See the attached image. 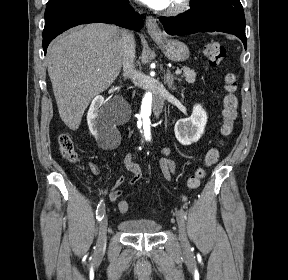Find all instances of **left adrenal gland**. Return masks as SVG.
<instances>
[{"instance_id": "left-adrenal-gland-1", "label": "left adrenal gland", "mask_w": 288, "mask_h": 280, "mask_svg": "<svg viewBox=\"0 0 288 280\" xmlns=\"http://www.w3.org/2000/svg\"><path fill=\"white\" fill-rule=\"evenodd\" d=\"M181 81V79L177 78V77H174V75L171 74L170 70L168 69L167 70V74L165 76V83H167L169 89L171 90H175V86H174V81Z\"/></svg>"}]
</instances>
